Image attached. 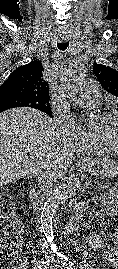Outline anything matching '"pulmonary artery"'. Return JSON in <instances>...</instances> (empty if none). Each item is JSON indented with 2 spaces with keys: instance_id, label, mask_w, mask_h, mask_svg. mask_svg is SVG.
Returning <instances> with one entry per match:
<instances>
[{
  "instance_id": "1",
  "label": "pulmonary artery",
  "mask_w": 118,
  "mask_h": 269,
  "mask_svg": "<svg viewBox=\"0 0 118 269\" xmlns=\"http://www.w3.org/2000/svg\"><path fill=\"white\" fill-rule=\"evenodd\" d=\"M101 97L99 85L95 80L84 82L82 92L74 99L77 104L90 105L99 101Z\"/></svg>"
}]
</instances>
